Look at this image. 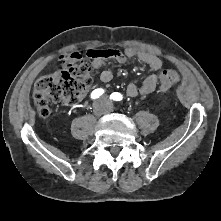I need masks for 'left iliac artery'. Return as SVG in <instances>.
I'll list each match as a JSON object with an SVG mask.
<instances>
[{
  "label": "left iliac artery",
  "instance_id": "left-iliac-artery-1",
  "mask_svg": "<svg viewBox=\"0 0 221 221\" xmlns=\"http://www.w3.org/2000/svg\"><path fill=\"white\" fill-rule=\"evenodd\" d=\"M122 98H123L122 95L118 92H114L113 94L110 95V99L115 101H121Z\"/></svg>",
  "mask_w": 221,
  "mask_h": 221
}]
</instances>
